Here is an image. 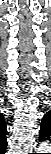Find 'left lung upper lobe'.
I'll use <instances>...</instances> for the list:
<instances>
[{
	"label": "left lung upper lobe",
	"instance_id": "1",
	"mask_svg": "<svg viewBox=\"0 0 51 154\" xmlns=\"http://www.w3.org/2000/svg\"><path fill=\"white\" fill-rule=\"evenodd\" d=\"M43 120H44V118H43ZM43 120H42V123H43ZM40 133H42V131H40ZM40 139H41V137H40Z\"/></svg>",
	"mask_w": 51,
	"mask_h": 154
}]
</instances>
